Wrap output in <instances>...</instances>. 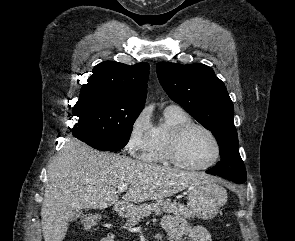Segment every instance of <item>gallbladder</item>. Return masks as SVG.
I'll use <instances>...</instances> for the list:
<instances>
[{"mask_svg": "<svg viewBox=\"0 0 295 241\" xmlns=\"http://www.w3.org/2000/svg\"><path fill=\"white\" fill-rule=\"evenodd\" d=\"M80 215H81V211L80 210H75L73 212V216L70 218V221L76 220Z\"/></svg>", "mask_w": 295, "mask_h": 241, "instance_id": "gallbladder-1", "label": "gallbladder"}]
</instances>
